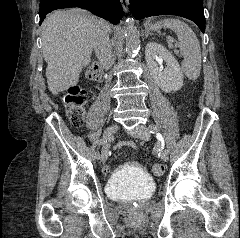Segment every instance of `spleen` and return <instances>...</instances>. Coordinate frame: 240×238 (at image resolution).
Instances as JSON below:
<instances>
[{
	"mask_svg": "<svg viewBox=\"0 0 240 238\" xmlns=\"http://www.w3.org/2000/svg\"><path fill=\"white\" fill-rule=\"evenodd\" d=\"M161 24L176 33L178 46L184 57L182 70L190 80H196L200 76L202 61L200 43L195 33L179 19H164Z\"/></svg>",
	"mask_w": 240,
	"mask_h": 238,
	"instance_id": "1",
	"label": "spleen"
}]
</instances>
